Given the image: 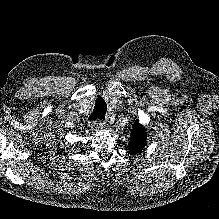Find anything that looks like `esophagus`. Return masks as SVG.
Returning <instances> with one entry per match:
<instances>
[{"label":"esophagus","mask_w":219,"mask_h":219,"mask_svg":"<svg viewBox=\"0 0 219 219\" xmlns=\"http://www.w3.org/2000/svg\"><path fill=\"white\" fill-rule=\"evenodd\" d=\"M93 127L96 129H102L105 127V121L103 119H98L94 122Z\"/></svg>","instance_id":"34e87169"}]
</instances>
